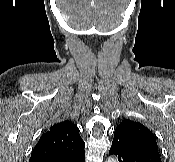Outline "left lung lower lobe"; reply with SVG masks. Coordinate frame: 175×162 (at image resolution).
Segmentation results:
<instances>
[{"mask_svg": "<svg viewBox=\"0 0 175 162\" xmlns=\"http://www.w3.org/2000/svg\"><path fill=\"white\" fill-rule=\"evenodd\" d=\"M109 154H115L119 162H161L158 150L149 146L126 147L113 141Z\"/></svg>", "mask_w": 175, "mask_h": 162, "instance_id": "0a47b994", "label": "left lung lower lobe"}]
</instances>
